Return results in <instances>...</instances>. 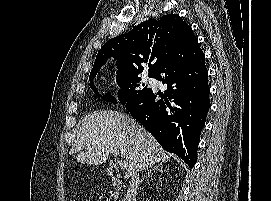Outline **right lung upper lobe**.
Instances as JSON below:
<instances>
[{
    "label": "right lung upper lobe",
    "instance_id": "right-lung-upper-lobe-1",
    "mask_svg": "<svg viewBox=\"0 0 271 201\" xmlns=\"http://www.w3.org/2000/svg\"><path fill=\"white\" fill-rule=\"evenodd\" d=\"M188 36L195 38L191 27L177 14L146 20L105 43L96 56L90 76L96 75L112 56L118 62L117 74L139 75L148 64V75H154Z\"/></svg>",
    "mask_w": 271,
    "mask_h": 201
}]
</instances>
